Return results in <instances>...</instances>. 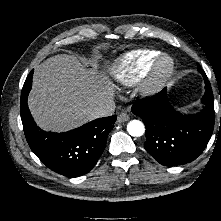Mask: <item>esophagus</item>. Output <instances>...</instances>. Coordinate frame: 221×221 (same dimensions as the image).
I'll use <instances>...</instances> for the list:
<instances>
[{
	"mask_svg": "<svg viewBox=\"0 0 221 221\" xmlns=\"http://www.w3.org/2000/svg\"><path fill=\"white\" fill-rule=\"evenodd\" d=\"M128 120H129V115L127 113H121L117 118V122H119V123H123Z\"/></svg>",
	"mask_w": 221,
	"mask_h": 221,
	"instance_id": "1",
	"label": "esophagus"
}]
</instances>
